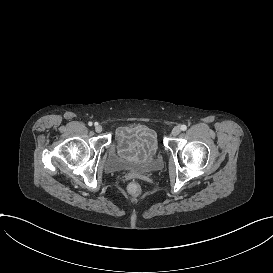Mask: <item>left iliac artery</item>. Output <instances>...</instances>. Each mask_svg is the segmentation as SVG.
<instances>
[{
    "label": "left iliac artery",
    "mask_w": 273,
    "mask_h": 273,
    "mask_svg": "<svg viewBox=\"0 0 273 273\" xmlns=\"http://www.w3.org/2000/svg\"><path fill=\"white\" fill-rule=\"evenodd\" d=\"M180 128H181L182 131H185L187 129V126L183 124V125H181Z\"/></svg>",
    "instance_id": "obj_1"
}]
</instances>
